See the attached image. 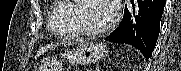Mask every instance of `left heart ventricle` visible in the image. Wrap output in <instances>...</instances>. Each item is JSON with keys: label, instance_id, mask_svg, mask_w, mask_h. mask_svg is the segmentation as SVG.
Segmentation results:
<instances>
[{"label": "left heart ventricle", "instance_id": "1", "mask_svg": "<svg viewBox=\"0 0 181 71\" xmlns=\"http://www.w3.org/2000/svg\"><path fill=\"white\" fill-rule=\"evenodd\" d=\"M108 1L88 0L81 2L80 18L82 23L90 29H100L108 23Z\"/></svg>", "mask_w": 181, "mask_h": 71}]
</instances>
